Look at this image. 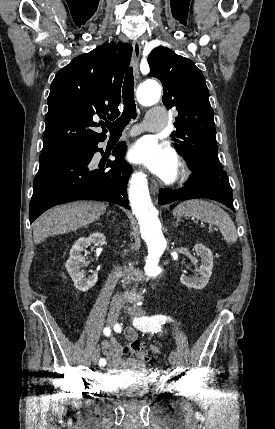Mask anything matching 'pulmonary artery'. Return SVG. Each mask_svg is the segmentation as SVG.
<instances>
[{
	"instance_id": "pulmonary-artery-1",
	"label": "pulmonary artery",
	"mask_w": 275,
	"mask_h": 429,
	"mask_svg": "<svg viewBox=\"0 0 275 429\" xmlns=\"http://www.w3.org/2000/svg\"><path fill=\"white\" fill-rule=\"evenodd\" d=\"M166 118H167L166 112L162 108H159V107L152 108L146 114L143 128L149 131L159 130L163 128V126L165 125ZM140 130L141 128L137 127L132 132V134H137L140 132Z\"/></svg>"
}]
</instances>
